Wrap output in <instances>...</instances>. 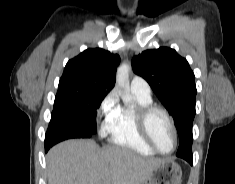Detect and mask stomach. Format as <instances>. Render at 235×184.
Masks as SVG:
<instances>
[{
	"instance_id": "0dacf381",
	"label": "stomach",
	"mask_w": 235,
	"mask_h": 184,
	"mask_svg": "<svg viewBox=\"0 0 235 184\" xmlns=\"http://www.w3.org/2000/svg\"><path fill=\"white\" fill-rule=\"evenodd\" d=\"M182 170L173 160H164L154 166L149 178L143 184H180Z\"/></svg>"
}]
</instances>
